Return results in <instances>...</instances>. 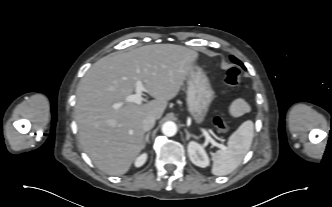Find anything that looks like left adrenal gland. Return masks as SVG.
<instances>
[{
	"mask_svg": "<svg viewBox=\"0 0 332 207\" xmlns=\"http://www.w3.org/2000/svg\"><path fill=\"white\" fill-rule=\"evenodd\" d=\"M185 134H186V140H189L190 137L196 138L195 135L190 134L187 129H185Z\"/></svg>",
	"mask_w": 332,
	"mask_h": 207,
	"instance_id": "a2214340",
	"label": "left adrenal gland"
}]
</instances>
